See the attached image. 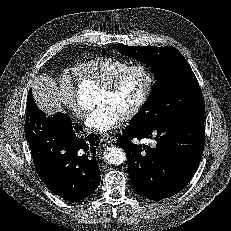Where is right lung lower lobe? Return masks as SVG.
I'll list each match as a JSON object with an SVG mask.
<instances>
[{
  "label": "right lung lower lobe",
  "instance_id": "98d812e1",
  "mask_svg": "<svg viewBox=\"0 0 231 231\" xmlns=\"http://www.w3.org/2000/svg\"><path fill=\"white\" fill-rule=\"evenodd\" d=\"M82 127L61 112L46 115L27 97L25 136L40 179L56 195L79 201L92 194L100 183L94 134L80 137Z\"/></svg>",
  "mask_w": 231,
  "mask_h": 231
}]
</instances>
